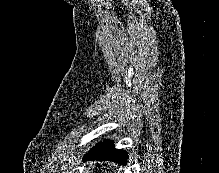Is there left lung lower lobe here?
<instances>
[{"mask_svg": "<svg viewBox=\"0 0 219 173\" xmlns=\"http://www.w3.org/2000/svg\"><path fill=\"white\" fill-rule=\"evenodd\" d=\"M127 153L123 150H117L113 146L112 141H104L97 146L93 147L88 154L85 155L84 160L98 159V160H111L114 162L127 163Z\"/></svg>", "mask_w": 219, "mask_h": 173, "instance_id": "obj_1", "label": "left lung lower lobe"}]
</instances>
